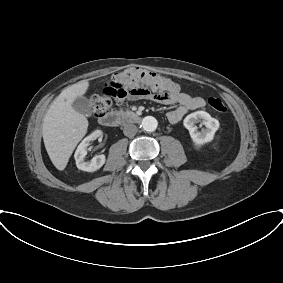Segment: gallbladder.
Wrapping results in <instances>:
<instances>
[{
    "instance_id": "obj_1",
    "label": "gallbladder",
    "mask_w": 283,
    "mask_h": 283,
    "mask_svg": "<svg viewBox=\"0 0 283 283\" xmlns=\"http://www.w3.org/2000/svg\"><path fill=\"white\" fill-rule=\"evenodd\" d=\"M73 109L85 116H90L92 114V106L86 97H77L72 103Z\"/></svg>"
}]
</instances>
